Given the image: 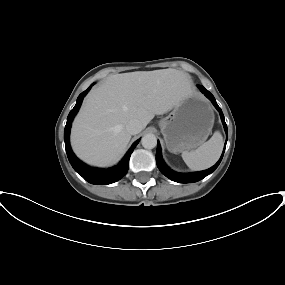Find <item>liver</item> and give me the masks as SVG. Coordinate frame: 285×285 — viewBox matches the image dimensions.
Segmentation results:
<instances>
[{
    "label": "liver",
    "instance_id": "6515ba94",
    "mask_svg": "<svg viewBox=\"0 0 285 285\" xmlns=\"http://www.w3.org/2000/svg\"><path fill=\"white\" fill-rule=\"evenodd\" d=\"M193 93L190 75L172 68L111 75L86 96L72 125V148L88 164L111 165L131 139L130 120L144 129Z\"/></svg>",
    "mask_w": 285,
    "mask_h": 285
}]
</instances>
